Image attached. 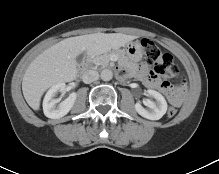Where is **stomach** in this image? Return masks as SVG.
Wrapping results in <instances>:
<instances>
[{"mask_svg": "<svg viewBox=\"0 0 219 174\" xmlns=\"http://www.w3.org/2000/svg\"><path fill=\"white\" fill-rule=\"evenodd\" d=\"M123 52L127 59L132 62H138L143 57V47L138 41L127 43Z\"/></svg>", "mask_w": 219, "mask_h": 174, "instance_id": "stomach-1", "label": "stomach"}]
</instances>
